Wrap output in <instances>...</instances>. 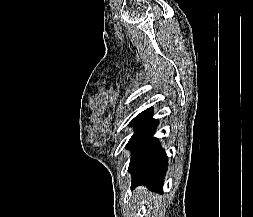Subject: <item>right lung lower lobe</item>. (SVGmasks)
Here are the masks:
<instances>
[{
  "instance_id": "1",
  "label": "right lung lower lobe",
  "mask_w": 253,
  "mask_h": 217,
  "mask_svg": "<svg viewBox=\"0 0 253 217\" xmlns=\"http://www.w3.org/2000/svg\"><path fill=\"white\" fill-rule=\"evenodd\" d=\"M152 114L153 109H147L135 123L136 131L126 146L132 151L129 166L132 188L146 185L153 190H162L168 158L160 148L158 139L152 137L158 125V120L153 119Z\"/></svg>"
}]
</instances>
